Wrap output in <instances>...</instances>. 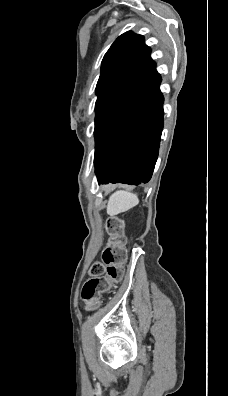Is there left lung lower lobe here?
I'll list each match as a JSON object with an SVG mask.
<instances>
[{
	"label": "left lung lower lobe",
	"instance_id": "obj_1",
	"mask_svg": "<svg viewBox=\"0 0 228 396\" xmlns=\"http://www.w3.org/2000/svg\"><path fill=\"white\" fill-rule=\"evenodd\" d=\"M161 77L150 63L141 77L111 108L95 136L99 184L147 183L158 157L163 129Z\"/></svg>",
	"mask_w": 228,
	"mask_h": 396
}]
</instances>
